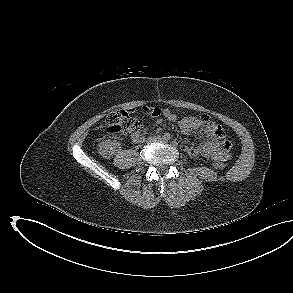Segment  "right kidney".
<instances>
[{
    "label": "right kidney",
    "instance_id": "right-kidney-1",
    "mask_svg": "<svg viewBox=\"0 0 293 293\" xmlns=\"http://www.w3.org/2000/svg\"><path fill=\"white\" fill-rule=\"evenodd\" d=\"M98 148V153L105 159H111L115 153L117 143L111 140H105L101 142Z\"/></svg>",
    "mask_w": 293,
    "mask_h": 293
}]
</instances>
